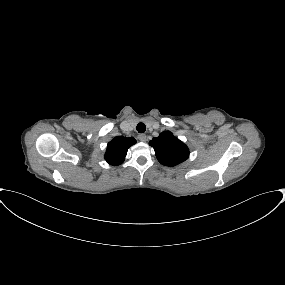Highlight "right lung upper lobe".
<instances>
[{
  "mask_svg": "<svg viewBox=\"0 0 285 285\" xmlns=\"http://www.w3.org/2000/svg\"><path fill=\"white\" fill-rule=\"evenodd\" d=\"M136 143L133 137L117 136L108 143L105 153L106 161L111 165L121 164L127 154V150L130 146Z\"/></svg>",
  "mask_w": 285,
  "mask_h": 285,
  "instance_id": "right-lung-upper-lobe-1",
  "label": "right lung upper lobe"
}]
</instances>
